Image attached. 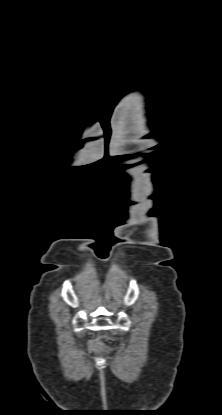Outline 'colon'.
Wrapping results in <instances>:
<instances>
[{
    "label": "colon",
    "instance_id": "colon-1",
    "mask_svg": "<svg viewBox=\"0 0 222 415\" xmlns=\"http://www.w3.org/2000/svg\"><path fill=\"white\" fill-rule=\"evenodd\" d=\"M90 346L95 352H102L104 350V346L97 341H91Z\"/></svg>",
    "mask_w": 222,
    "mask_h": 415
}]
</instances>
